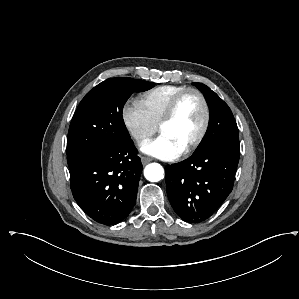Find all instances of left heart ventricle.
Wrapping results in <instances>:
<instances>
[{"label":"left heart ventricle","mask_w":299,"mask_h":299,"mask_svg":"<svg viewBox=\"0 0 299 299\" xmlns=\"http://www.w3.org/2000/svg\"><path fill=\"white\" fill-rule=\"evenodd\" d=\"M203 117L200 99L195 94H189L181 101L174 119L161 128L160 134L184 149L198 134Z\"/></svg>","instance_id":"1"}]
</instances>
